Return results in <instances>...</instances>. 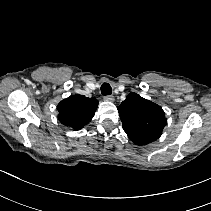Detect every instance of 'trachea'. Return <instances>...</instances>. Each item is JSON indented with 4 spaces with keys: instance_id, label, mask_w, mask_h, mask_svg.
Listing matches in <instances>:
<instances>
[{
    "instance_id": "1",
    "label": "trachea",
    "mask_w": 211,
    "mask_h": 211,
    "mask_svg": "<svg viewBox=\"0 0 211 211\" xmlns=\"http://www.w3.org/2000/svg\"><path fill=\"white\" fill-rule=\"evenodd\" d=\"M101 93L102 95H111L112 88L108 83H103L101 86Z\"/></svg>"
}]
</instances>
